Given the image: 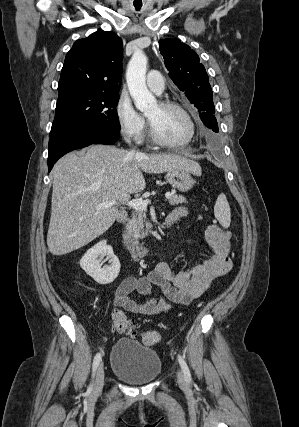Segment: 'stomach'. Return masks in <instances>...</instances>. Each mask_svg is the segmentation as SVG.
<instances>
[{"mask_svg": "<svg viewBox=\"0 0 299 427\" xmlns=\"http://www.w3.org/2000/svg\"><path fill=\"white\" fill-rule=\"evenodd\" d=\"M165 177L173 188L181 192L189 191L194 185L191 172L184 169L168 170Z\"/></svg>", "mask_w": 299, "mask_h": 427, "instance_id": "0dacf381", "label": "stomach"}]
</instances>
